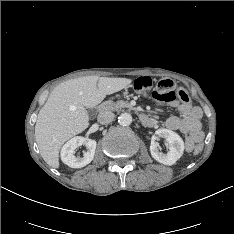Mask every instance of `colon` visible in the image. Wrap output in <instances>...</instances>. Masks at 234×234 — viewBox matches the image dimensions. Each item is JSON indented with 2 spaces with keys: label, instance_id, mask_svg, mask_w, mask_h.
<instances>
[{
  "label": "colon",
  "instance_id": "obj_1",
  "mask_svg": "<svg viewBox=\"0 0 234 234\" xmlns=\"http://www.w3.org/2000/svg\"><path fill=\"white\" fill-rule=\"evenodd\" d=\"M152 86V79L146 76L139 77L134 82V88L139 92L148 91L152 88ZM152 96L155 99L165 101L179 98L184 104L189 103V96L187 92L183 88L177 87L171 79H163L159 81L152 91ZM190 148L193 149L195 153H199L202 149V146L200 144H192Z\"/></svg>",
  "mask_w": 234,
  "mask_h": 234
}]
</instances>
